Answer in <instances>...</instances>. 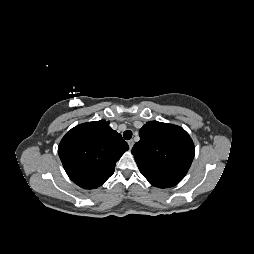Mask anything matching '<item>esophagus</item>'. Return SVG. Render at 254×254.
I'll use <instances>...</instances> for the list:
<instances>
[{
	"instance_id": "obj_1",
	"label": "esophagus",
	"mask_w": 254,
	"mask_h": 254,
	"mask_svg": "<svg viewBox=\"0 0 254 254\" xmlns=\"http://www.w3.org/2000/svg\"><path fill=\"white\" fill-rule=\"evenodd\" d=\"M128 145H129V148L132 149V147L134 145V141L133 140H129L128 141Z\"/></svg>"
}]
</instances>
